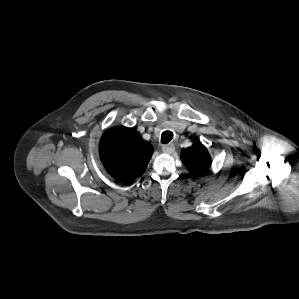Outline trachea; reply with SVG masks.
Instances as JSON below:
<instances>
[{"label": "trachea", "mask_w": 299, "mask_h": 299, "mask_svg": "<svg viewBox=\"0 0 299 299\" xmlns=\"http://www.w3.org/2000/svg\"><path fill=\"white\" fill-rule=\"evenodd\" d=\"M173 138V133L171 131H164L161 135V143H169Z\"/></svg>", "instance_id": "1"}]
</instances>
